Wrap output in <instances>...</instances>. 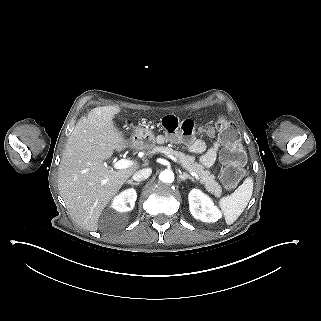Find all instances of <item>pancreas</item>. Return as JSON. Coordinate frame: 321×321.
<instances>
[{
    "mask_svg": "<svg viewBox=\"0 0 321 321\" xmlns=\"http://www.w3.org/2000/svg\"><path fill=\"white\" fill-rule=\"evenodd\" d=\"M148 152L151 154L168 152L170 155L176 156L185 170L195 172L199 176L200 183L205 185V190L208 193L213 194L215 197L220 196L222 186L215 180V175L211 174L209 170H205V167L200 163H196L195 157L187 156L183 152L174 151L164 146L155 147L152 150H148Z\"/></svg>",
    "mask_w": 321,
    "mask_h": 321,
    "instance_id": "1",
    "label": "pancreas"
}]
</instances>
